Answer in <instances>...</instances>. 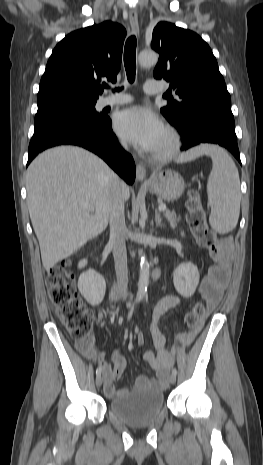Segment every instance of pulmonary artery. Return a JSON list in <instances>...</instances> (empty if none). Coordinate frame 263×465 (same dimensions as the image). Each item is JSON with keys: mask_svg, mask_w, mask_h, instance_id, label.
<instances>
[{"mask_svg": "<svg viewBox=\"0 0 263 465\" xmlns=\"http://www.w3.org/2000/svg\"><path fill=\"white\" fill-rule=\"evenodd\" d=\"M163 87L154 81H147L144 85V91L146 94H156L161 92ZM132 98L130 95L127 94H117L115 96L106 97L101 101V106H115V105H123L130 103Z\"/></svg>", "mask_w": 263, "mask_h": 465, "instance_id": "obj_1", "label": "pulmonary artery"}]
</instances>
